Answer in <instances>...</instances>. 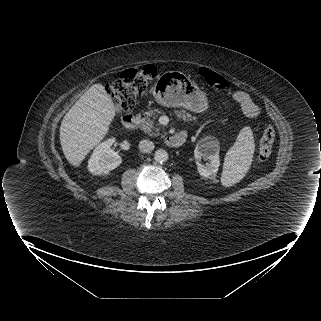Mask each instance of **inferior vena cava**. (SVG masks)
<instances>
[{
  "mask_svg": "<svg viewBox=\"0 0 321 321\" xmlns=\"http://www.w3.org/2000/svg\"><path fill=\"white\" fill-rule=\"evenodd\" d=\"M154 147V143L148 139H144L139 142V149L143 153H150Z\"/></svg>",
  "mask_w": 321,
  "mask_h": 321,
  "instance_id": "inferior-vena-cava-1",
  "label": "inferior vena cava"
}]
</instances>
